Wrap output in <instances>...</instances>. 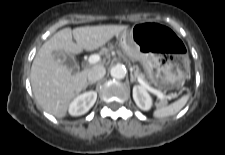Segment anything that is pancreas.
<instances>
[{"label": "pancreas", "instance_id": "obj_1", "mask_svg": "<svg viewBox=\"0 0 225 155\" xmlns=\"http://www.w3.org/2000/svg\"><path fill=\"white\" fill-rule=\"evenodd\" d=\"M134 75H135V77H140V78H142V79L147 83L146 76H145L144 73H142V72L140 71L139 67H135ZM164 104H166V100L163 99V104H161V105H164Z\"/></svg>", "mask_w": 225, "mask_h": 155}]
</instances>
